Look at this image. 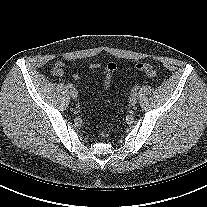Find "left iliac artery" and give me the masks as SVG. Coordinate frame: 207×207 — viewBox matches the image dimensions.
Listing matches in <instances>:
<instances>
[{
	"mask_svg": "<svg viewBox=\"0 0 207 207\" xmlns=\"http://www.w3.org/2000/svg\"><path fill=\"white\" fill-rule=\"evenodd\" d=\"M137 90H138V86H134L133 91H137Z\"/></svg>",
	"mask_w": 207,
	"mask_h": 207,
	"instance_id": "left-iliac-artery-1",
	"label": "left iliac artery"
}]
</instances>
